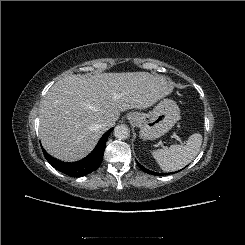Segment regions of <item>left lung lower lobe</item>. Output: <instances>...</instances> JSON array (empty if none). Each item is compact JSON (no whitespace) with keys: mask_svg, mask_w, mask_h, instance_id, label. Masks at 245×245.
<instances>
[{"mask_svg":"<svg viewBox=\"0 0 245 245\" xmlns=\"http://www.w3.org/2000/svg\"><path fill=\"white\" fill-rule=\"evenodd\" d=\"M136 162H137V161H136ZM137 164H138V166H139L144 172H147V173L153 174V175H162V174L155 173V172H152V171L146 169L145 167H143V166H142L141 164H139L138 162H137ZM165 175H166V174H165Z\"/></svg>","mask_w":245,"mask_h":245,"instance_id":"obj_1","label":"left lung lower lobe"}]
</instances>
